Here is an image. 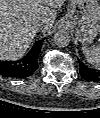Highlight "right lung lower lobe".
Here are the masks:
<instances>
[{
	"instance_id": "right-lung-lower-lobe-1",
	"label": "right lung lower lobe",
	"mask_w": 100,
	"mask_h": 118,
	"mask_svg": "<svg viewBox=\"0 0 100 118\" xmlns=\"http://www.w3.org/2000/svg\"><path fill=\"white\" fill-rule=\"evenodd\" d=\"M40 49L41 42H38L21 60L14 62H1L0 74L13 78H26L31 76L38 69L37 58Z\"/></svg>"
}]
</instances>
